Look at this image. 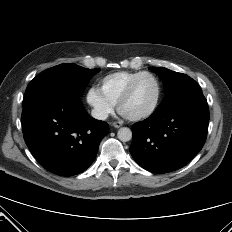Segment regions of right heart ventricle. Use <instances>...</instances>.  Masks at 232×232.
Segmentation results:
<instances>
[{
  "label": "right heart ventricle",
  "instance_id": "right-heart-ventricle-1",
  "mask_svg": "<svg viewBox=\"0 0 232 232\" xmlns=\"http://www.w3.org/2000/svg\"><path fill=\"white\" fill-rule=\"evenodd\" d=\"M140 72L118 71L104 76L99 81V90L113 105L117 104L130 81Z\"/></svg>",
  "mask_w": 232,
  "mask_h": 232
}]
</instances>
